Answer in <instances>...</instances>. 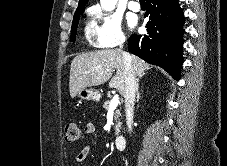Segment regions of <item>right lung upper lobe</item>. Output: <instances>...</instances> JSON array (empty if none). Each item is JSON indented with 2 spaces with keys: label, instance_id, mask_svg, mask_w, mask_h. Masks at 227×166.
I'll use <instances>...</instances> for the list:
<instances>
[{
  "label": "right lung upper lobe",
  "instance_id": "obj_1",
  "mask_svg": "<svg viewBox=\"0 0 227 166\" xmlns=\"http://www.w3.org/2000/svg\"><path fill=\"white\" fill-rule=\"evenodd\" d=\"M87 2L88 0H79L78 8H83Z\"/></svg>",
  "mask_w": 227,
  "mask_h": 166
}]
</instances>
